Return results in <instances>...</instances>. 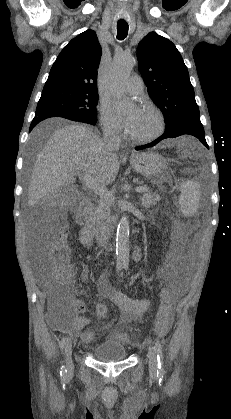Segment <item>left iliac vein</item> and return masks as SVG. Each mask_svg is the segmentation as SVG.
Instances as JSON below:
<instances>
[{
    "mask_svg": "<svg viewBox=\"0 0 231 419\" xmlns=\"http://www.w3.org/2000/svg\"><path fill=\"white\" fill-rule=\"evenodd\" d=\"M149 358V371L151 374H156L158 363H157V352L155 347H150L148 352Z\"/></svg>",
    "mask_w": 231,
    "mask_h": 419,
    "instance_id": "obj_1",
    "label": "left iliac vein"
}]
</instances>
